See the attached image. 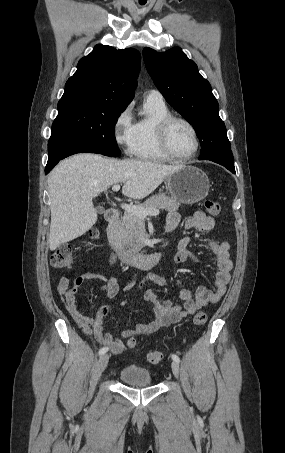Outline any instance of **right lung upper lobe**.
Wrapping results in <instances>:
<instances>
[{"label":"right lung upper lobe","mask_w":285,"mask_h":453,"mask_svg":"<svg viewBox=\"0 0 285 453\" xmlns=\"http://www.w3.org/2000/svg\"><path fill=\"white\" fill-rule=\"evenodd\" d=\"M140 60L136 49L96 45L80 59L59 102L103 101L127 107L134 97Z\"/></svg>","instance_id":"cb5924a9"}]
</instances>
